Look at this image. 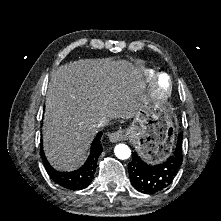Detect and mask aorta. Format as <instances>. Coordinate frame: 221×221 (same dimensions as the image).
Segmentation results:
<instances>
[{"mask_svg":"<svg viewBox=\"0 0 221 221\" xmlns=\"http://www.w3.org/2000/svg\"><path fill=\"white\" fill-rule=\"evenodd\" d=\"M115 156L118 159L125 160L131 156L130 148L125 144H118L114 148Z\"/></svg>","mask_w":221,"mask_h":221,"instance_id":"1","label":"aorta"}]
</instances>
